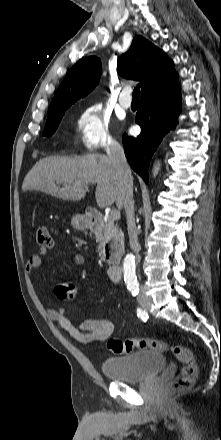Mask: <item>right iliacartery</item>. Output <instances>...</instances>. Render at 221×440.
<instances>
[{"label": "right iliac artery", "instance_id": "right-iliac-artery-1", "mask_svg": "<svg viewBox=\"0 0 221 440\" xmlns=\"http://www.w3.org/2000/svg\"><path fill=\"white\" fill-rule=\"evenodd\" d=\"M137 316L141 318L143 321H146L148 319L147 312L141 308H137Z\"/></svg>", "mask_w": 221, "mask_h": 440}]
</instances>
